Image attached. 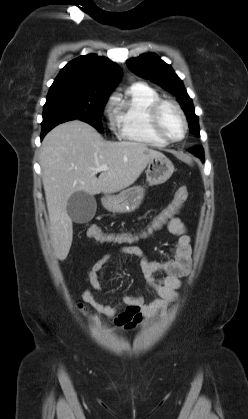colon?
Instances as JSON below:
<instances>
[{
    "label": "colon",
    "mask_w": 248,
    "mask_h": 419,
    "mask_svg": "<svg viewBox=\"0 0 248 419\" xmlns=\"http://www.w3.org/2000/svg\"><path fill=\"white\" fill-rule=\"evenodd\" d=\"M189 191L187 187L182 186L177 189L172 201L166 206L155 218L152 220L149 226L153 230H158L163 224H165L169 219L175 216L184 203L188 200ZM89 234L91 235L93 240L106 242L110 240H117V241H124L125 238L120 236H113L110 237L106 235L99 227H91L88 230ZM82 310L87 312V308L82 306Z\"/></svg>",
    "instance_id": "colon-1"
}]
</instances>
